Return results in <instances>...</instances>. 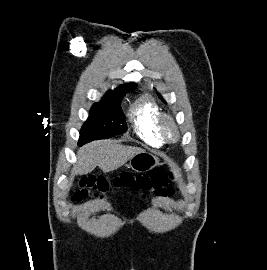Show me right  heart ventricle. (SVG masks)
I'll return each mask as SVG.
<instances>
[{"label":"right heart ventricle","instance_id":"right-heart-ventricle-1","mask_svg":"<svg viewBox=\"0 0 267 270\" xmlns=\"http://www.w3.org/2000/svg\"><path fill=\"white\" fill-rule=\"evenodd\" d=\"M160 114L159 105L147 95L136 99L129 111V118L136 135L154 147L163 144L157 125Z\"/></svg>","mask_w":267,"mask_h":270}]
</instances>
